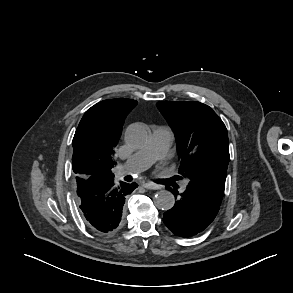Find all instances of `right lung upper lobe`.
<instances>
[{"label":"right lung upper lobe","instance_id":"obj_1","mask_svg":"<svg viewBox=\"0 0 293 293\" xmlns=\"http://www.w3.org/2000/svg\"><path fill=\"white\" fill-rule=\"evenodd\" d=\"M137 101L118 98L101 101L84 114L73 138V171L76 178H114V148L126 115Z\"/></svg>","mask_w":293,"mask_h":293}]
</instances>
